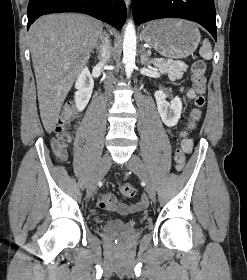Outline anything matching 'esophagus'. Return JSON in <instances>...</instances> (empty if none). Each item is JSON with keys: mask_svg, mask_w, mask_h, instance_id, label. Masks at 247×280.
Instances as JSON below:
<instances>
[{"mask_svg": "<svg viewBox=\"0 0 247 280\" xmlns=\"http://www.w3.org/2000/svg\"><path fill=\"white\" fill-rule=\"evenodd\" d=\"M124 1H125V4H126V7L129 8L131 0H124Z\"/></svg>", "mask_w": 247, "mask_h": 280, "instance_id": "34e87169", "label": "esophagus"}]
</instances>
